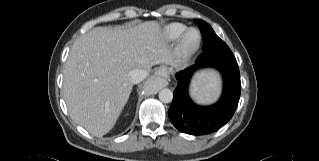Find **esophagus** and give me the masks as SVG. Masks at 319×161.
Instances as JSON below:
<instances>
[{
  "label": "esophagus",
  "mask_w": 319,
  "mask_h": 161,
  "mask_svg": "<svg viewBox=\"0 0 319 161\" xmlns=\"http://www.w3.org/2000/svg\"><path fill=\"white\" fill-rule=\"evenodd\" d=\"M148 82L152 84L156 90H160L168 84L167 79L162 77L160 73H155L154 75L150 76Z\"/></svg>",
  "instance_id": "obj_1"
}]
</instances>
